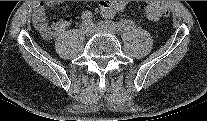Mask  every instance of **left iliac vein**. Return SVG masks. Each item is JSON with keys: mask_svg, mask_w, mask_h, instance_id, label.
I'll list each match as a JSON object with an SVG mask.
<instances>
[{"mask_svg": "<svg viewBox=\"0 0 207 121\" xmlns=\"http://www.w3.org/2000/svg\"><path fill=\"white\" fill-rule=\"evenodd\" d=\"M92 25V29H93V32L94 33H110V34H113L114 32L110 29H107V28H103V27H100V26H95L93 24Z\"/></svg>", "mask_w": 207, "mask_h": 121, "instance_id": "obj_1", "label": "left iliac vein"}]
</instances>
